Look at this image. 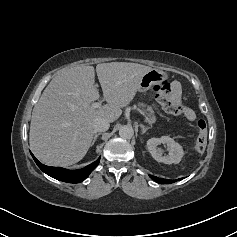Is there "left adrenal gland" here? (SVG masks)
<instances>
[{"mask_svg":"<svg viewBox=\"0 0 237 237\" xmlns=\"http://www.w3.org/2000/svg\"><path fill=\"white\" fill-rule=\"evenodd\" d=\"M140 127L142 128V134H144V133H146V131L148 130V129H150V127H145L144 125H140Z\"/></svg>","mask_w":237,"mask_h":237,"instance_id":"a2214340","label":"left adrenal gland"}]
</instances>
